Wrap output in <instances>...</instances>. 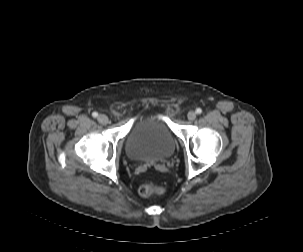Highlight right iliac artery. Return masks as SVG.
I'll list each match as a JSON object with an SVG mask.
<instances>
[{
    "instance_id": "1",
    "label": "right iliac artery",
    "mask_w": 303,
    "mask_h": 252,
    "mask_svg": "<svg viewBox=\"0 0 303 252\" xmlns=\"http://www.w3.org/2000/svg\"><path fill=\"white\" fill-rule=\"evenodd\" d=\"M92 116H93L94 118H96V117H98V113H97V112H93V113H92Z\"/></svg>"
}]
</instances>
